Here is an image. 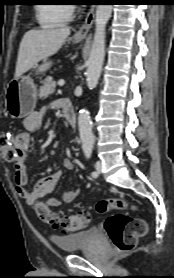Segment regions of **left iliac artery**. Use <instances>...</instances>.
<instances>
[{"instance_id": "1", "label": "left iliac artery", "mask_w": 174, "mask_h": 278, "mask_svg": "<svg viewBox=\"0 0 174 278\" xmlns=\"http://www.w3.org/2000/svg\"><path fill=\"white\" fill-rule=\"evenodd\" d=\"M84 153H85L86 158L89 159L91 157L92 150L91 149H86V150H84ZM91 175L93 177H97L98 173L96 171H94V172L91 173Z\"/></svg>"}]
</instances>
